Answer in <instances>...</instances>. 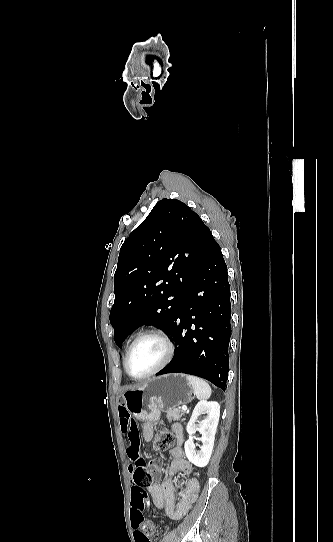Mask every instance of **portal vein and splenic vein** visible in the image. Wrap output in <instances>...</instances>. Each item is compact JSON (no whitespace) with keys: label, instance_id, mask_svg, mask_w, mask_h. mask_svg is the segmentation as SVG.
<instances>
[{"label":"portal vein and splenic vein","instance_id":"1","mask_svg":"<svg viewBox=\"0 0 333 542\" xmlns=\"http://www.w3.org/2000/svg\"><path fill=\"white\" fill-rule=\"evenodd\" d=\"M181 410H184V412H186L187 406H182Z\"/></svg>","mask_w":333,"mask_h":542}]
</instances>
